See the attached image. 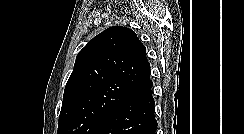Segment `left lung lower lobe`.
<instances>
[{
	"mask_svg": "<svg viewBox=\"0 0 244 134\" xmlns=\"http://www.w3.org/2000/svg\"><path fill=\"white\" fill-rule=\"evenodd\" d=\"M151 92L131 98L115 109L97 134H156Z\"/></svg>",
	"mask_w": 244,
	"mask_h": 134,
	"instance_id": "0a47b994",
	"label": "left lung lower lobe"
}]
</instances>
